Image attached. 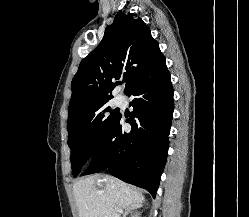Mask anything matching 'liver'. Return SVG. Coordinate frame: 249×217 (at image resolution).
Wrapping results in <instances>:
<instances>
[{"label":"liver","mask_w":249,"mask_h":217,"mask_svg":"<svg viewBox=\"0 0 249 217\" xmlns=\"http://www.w3.org/2000/svg\"><path fill=\"white\" fill-rule=\"evenodd\" d=\"M79 217H113L115 208L142 206L144 196L112 176L97 174L74 183Z\"/></svg>","instance_id":"6515ba94"}]
</instances>
